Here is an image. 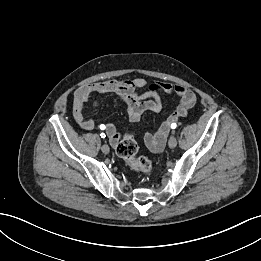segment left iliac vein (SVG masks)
I'll use <instances>...</instances> for the list:
<instances>
[{"instance_id":"obj_1","label":"left iliac vein","mask_w":261,"mask_h":261,"mask_svg":"<svg viewBox=\"0 0 261 261\" xmlns=\"http://www.w3.org/2000/svg\"><path fill=\"white\" fill-rule=\"evenodd\" d=\"M168 145L170 148H175L177 145V139L174 136H171Z\"/></svg>"}]
</instances>
